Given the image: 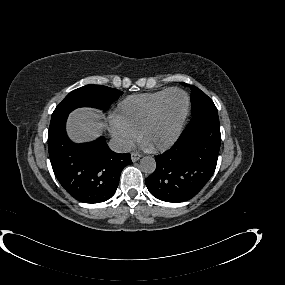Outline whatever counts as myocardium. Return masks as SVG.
Listing matches in <instances>:
<instances>
[{
	"label": "myocardium",
	"instance_id": "1",
	"mask_svg": "<svg viewBox=\"0 0 285 285\" xmlns=\"http://www.w3.org/2000/svg\"><path fill=\"white\" fill-rule=\"evenodd\" d=\"M175 91L181 92L185 96L186 108H185L184 114L182 115L180 122L178 124L177 130H176L175 134L172 136V138H170L166 142L148 147L150 150H160V149H165V148L170 147L172 144H174L176 142V140L179 138V136L182 132V129L184 127V124L187 120V117H188L189 111H190V98H189V95L187 94L186 91H184L181 88L174 87V88L168 89L164 93V95L159 99V101L156 103V105L154 106L150 116L147 118V120L144 122V124L140 128L139 133H138V137H139V140H141L143 142V136H144L145 132L153 125V123L159 117L166 98L168 97V95L170 93L175 92Z\"/></svg>",
	"mask_w": 285,
	"mask_h": 285
}]
</instances>
